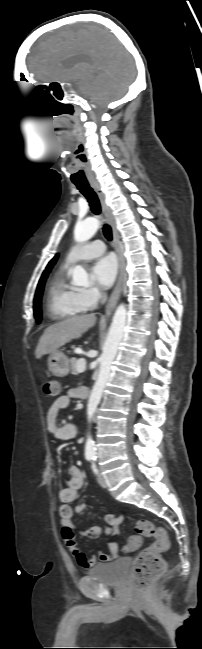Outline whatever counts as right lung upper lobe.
<instances>
[{
	"mask_svg": "<svg viewBox=\"0 0 202 649\" xmlns=\"http://www.w3.org/2000/svg\"><path fill=\"white\" fill-rule=\"evenodd\" d=\"M57 257H58V255H56V256H55V257H54V258H53V259L48 263V265H47L46 269L44 270L43 274H44L45 272L51 270V268L53 267V265L55 264V262H56V260H57Z\"/></svg>",
	"mask_w": 202,
	"mask_h": 649,
	"instance_id": "1",
	"label": "right lung upper lobe"
}]
</instances>
